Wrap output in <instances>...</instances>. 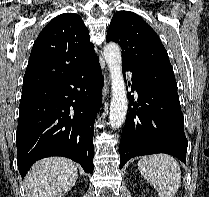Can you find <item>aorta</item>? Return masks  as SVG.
<instances>
[{
    "label": "aorta",
    "instance_id": "762f6f07",
    "mask_svg": "<svg viewBox=\"0 0 209 197\" xmlns=\"http://www.w3.org/2000/svg\"><path fill=\"white\" fill-rule=\"evenodd\" d=\"M104 58L110 71L112 99L110 104L109 122L111 128L122 126L125 121L128 100L124 78L122 75L121 49L116 43H108L104 48Z\"/></svg>",
    "mask_w": 209,
    "mask_h": 197
}]
</instances>
